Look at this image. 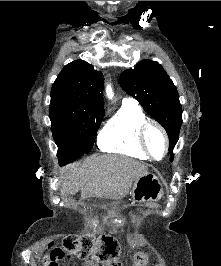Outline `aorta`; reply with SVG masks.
<instances>
[{
    "mask_svg": "<svg viewBox=\"0 0 221 266\" xmlns=\"http://www.w3.org/2000/svg\"><path fill=\"white\" fill-rule=\"evenodd\" d=\"M106 94H107V97H108L109 99H112V98H113L114 93H113V90H112L111 85H107V86H106Z\"/></svg>",
    "mask_w": 221,
    "mask_h": 266,
    "instance_id": "762f6f07",
    "label": "aorta"
}]
</instances>
